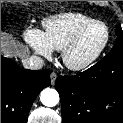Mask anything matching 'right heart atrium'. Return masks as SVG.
Masks as SVG:
<instances>
[{"label":"right heart atrium","mask_w":123,"mask_h":123,"mask_svg":"<svg viewBox=\"0 0 123 123\" xmlns=\"http://www.w3.org/2000/svg\"><path fill=\"white\" fill-rule=\"evenodd\" d=\"M24 40L27 45L38 55L49 58L52 55V48L47 43L43 32L36 28H27L24 31Z\"/></svg>","instance_id":"d8ad5b80"}]
</instances>
